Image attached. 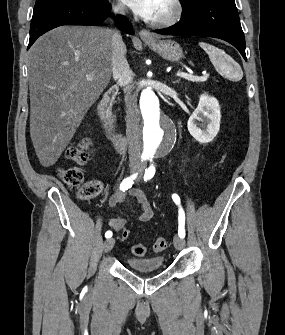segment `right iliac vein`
Wrapping results in <instances>:
<instances>
[{"label":"right iliac vein","mask_w":285,"mask_h":335,"mask_svg":"<svg viewBox=\"0 0 285 335\" xmlns=\"http://www.w3.org/2000/svg\"><path fill=\"white\" fill-rule=\"evenodd\" d=\"M114 244H115V240L113 238L106 240L104 243V247H103L104 253L110 252Z\"/></svg>","instance_id":"1"}]
</instances>
